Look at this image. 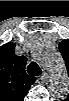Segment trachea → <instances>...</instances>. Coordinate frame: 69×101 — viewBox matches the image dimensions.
Listing matches in <instances>:
<instances>
[{
    "label": "trachea",
    "instance_id": "trachea-1",
    "mask_svg": "<svg viewBox=\"0 0 69 101\" xmlns=\"http://www.w3.org/2000/svg\"><path fill=\"white\" fill-rule=\"evenodd\" d=\"M28 72L30 74H41V70L39 68V66L35 63V62H32L29 64L28 66Z\"/></svg>",
    "mask_w": 69,
    "mask_h": 101
}]
</instances>
